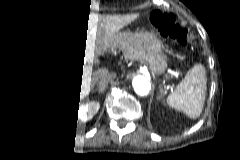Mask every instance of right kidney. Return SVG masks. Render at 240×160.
I'll list each match as a JSON object with an SVG mask.
<instances>
[{
	"instance_id": "right-kidney-1",
	"label": "right kidney",
	"mask_w": 240,
	"mask_h": 160,
	"mask_svg": "<svg viewBox=\"0 0 240 160\" xmlns=\"http://www.w3.org/2000/svg\"><path fill=\"white\" fill-rule=\"evenodd\" d=\"M98 110V104L90 103L79 109L78 114L82 120H89L92 118L94 113Z\"/></svg>"
}]
</instances>
